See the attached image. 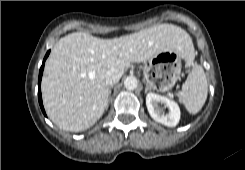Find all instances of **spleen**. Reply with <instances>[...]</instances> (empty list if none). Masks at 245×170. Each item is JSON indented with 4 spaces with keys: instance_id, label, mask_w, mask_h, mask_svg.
Here are the masks:
<instances>
[{
    "instance_id": "obj_1",
    "label": "spleen",
    "mask_w": 245,
    "mask_h": 170,
    "mask_svg": "<svg viewBox=\"0 0 245 170\" xmlns=\"http://www.w3.org/2000/svg\"><path fill=\"white\" fill-rule=\"evenodd\" d=\"M192 54L194 57V51ZM207 93L208 84L205 72L202 66L196 65L189 73L182 90L178 93V99L189 113L196 114L205 104Z\"/></svg>"
}]
</instances>
